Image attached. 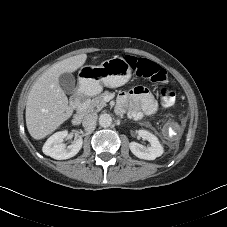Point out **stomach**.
Listing matches in <instances>:
<instances>
[{"label":"stomach","mask_w":227,"mask_h":227,"mask_svg":"<svg viewBox=\"0 0 227 227\" xmlns=\"http://www.w3.org/2000/svg\"><path fill=\"white\" fill-rule=\"evenodd\" d=\"M130 78L131 67L121 57H113L97 66L85 65L79 71L81 89L89 96L99 93L103 85L110 88L120 87Z\"/></svg>","instance_id":"1"}]
</instances>
